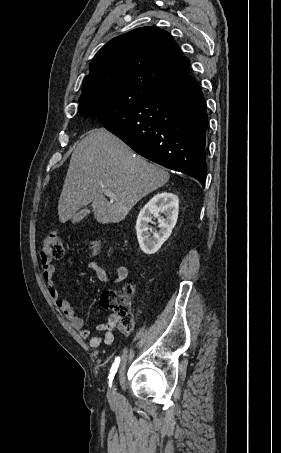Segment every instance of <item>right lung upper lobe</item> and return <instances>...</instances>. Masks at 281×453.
<instances>
[{
    "mask_svg": "<svg viewBox=\"0 0 281 453\" xmlns=\"http://www.w3.org/2000/svg\"><path fill=\"white\" fill-rule=\"evenodd\" d=\"M189 71V59L167 31L157 27L134 29L113 38L97 52L83 80L78 112L129 101Z\"/></svg>",
    "mask_w": 281,
    "mask_h": 453,
    "instance_id": "1",
    "label": "right lung upper lobe"
}]
</instances>
